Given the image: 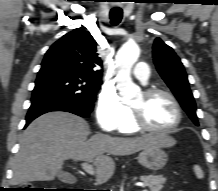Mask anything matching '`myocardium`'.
I'll return each instance as SVG.
<instances>
[{
    "instance_id": "obj_1",
    "label": "myocardium",
    "mask_w": 218,
    "mask_h": 191,
    "mask_svg": "<svg viewBox=\"0 0 218 191\" xmlns=\"http://www.w3.org/2000/svg\"><path fill=\"white\" fill-rule=\"evenodd\" d=\"M143 94L147 99H150L157 95H163L167 97L175 107L177 118H176L175 123L168 128H163V129L153 128L147 123V121L144 118L143 113L140 110H137L131 107L132 121L137 130L149 132L153 134H168V133L175 131L181 125L182 120H183L182 107L179 101L176 99V97L172 93H170L167 90L160 89V88H148L143 92Z\"/></svg>"
}]
</instances>
